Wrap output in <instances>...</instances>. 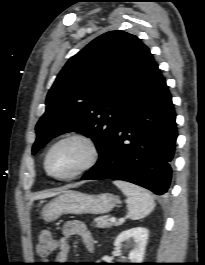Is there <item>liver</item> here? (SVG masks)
<instances>
[{
	"mask_svg": "<svg viewBox=\"0 0 205 265\" xmlns=\"http://www.w3.org/2000/svg\"><path fill=\"white\" fill-rule=\"evenodd\" d=\"M65 192H68V191H59V192H45V193H40L36 196H34L31 200V202H33L34 200H38V199H45V198H50V197H53V196H56L60 193H65Z\"/></svg>",
	"mask_w": 205,
	"mask_h": 265,
	"instance_id": "obj_1",
	"label": "liver"
}]
</instances>
